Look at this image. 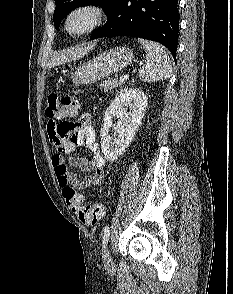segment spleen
Returning <instances> with one entry per match:
<instances>
[{"mask_svg": "<svg viewBox=\"0 0 233 294\" xmlns=\"http://www.w3.org/2000/svg\"><path fill=\"white\" fill-rule=\"evenodd\" d=\"M146 51V64L139 70V78L144 82L168 79L171 76V60L159 43L138 39Z\"/></svg>", "mask_w": 233, "mask_h": 294, "instance_id": "3e777b00", "label": "spleen"}]
</instances>
